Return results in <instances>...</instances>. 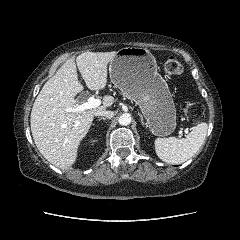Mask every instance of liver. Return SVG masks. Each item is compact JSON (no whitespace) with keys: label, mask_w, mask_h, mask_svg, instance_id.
<instances>
[{"label":"liver","mask_w":240,"mask_h":240,"mask_svg":"<svg viewBox=\"0 0 240 240\" xmlns=\"http://www.w3.org/2000/svg\"><path fill=\"white\" fill-rule=\"evenodd\" d=\"M117 55L111 52H84L69 58L43 86L31 111V132L40 153L51 164L69 169L76 161L81 140L88 133L97 111L110 107L114 98L104 96L102 105L82 113L71 111L75 96L84 87L77 67L90 90L107 85V66ZM77 66V67H76Z\"/></svg>","instance_id":"liver-1"}]
</instances>
